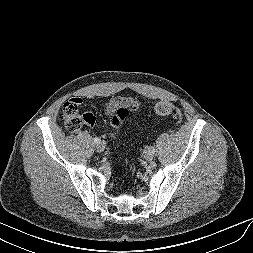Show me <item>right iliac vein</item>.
<instances>
[{"mask_svg": "<svg viewBox=\"0 0 253 253\" xmlns=\"http://www.w3.org/2000/svg\"><path fill=\"white\" fill-rule=\"evenodd\" d=\"M95 148L97 152H103L105 149V144L103 142H100L95 146Z\"/></svg>", "mask_w": 253, "mask_h": 253, "instance_id": "obj_1", "label": "right iliac vein"}]
</instances>
